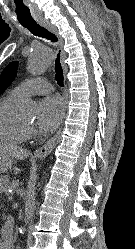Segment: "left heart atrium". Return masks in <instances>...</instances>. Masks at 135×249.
Wrapping results in <instances>:
<instances>
[{
	"instance_id": "39dd6f15",
	"label": "left heart atrium",
	"mask_w": 135,
	"mask_h": 249,
	"mask_svg": "<svg viewBox=\"0 0 135 249\" xmlns=\"http://www.w3.org/2000/svg\"><path fill=\"white\" fill-rule=\"evenodd\" d=\"M65 111V103L58 95L46 97L40 105L38 127L43 131L54 130L61 122Z\"/></svg>"
}]
</instances>
